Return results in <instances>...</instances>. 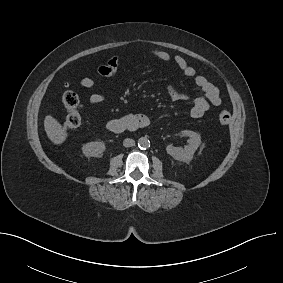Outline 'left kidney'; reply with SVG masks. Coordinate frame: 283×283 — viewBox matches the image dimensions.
I'll list each match as a JSON object with an SVG mask.
<instances>
[{
	"instance_id": "left-kidney-1",
	"label": "left kidney",
	"mask_w": 283,
	"mask_h": 283,
	"mask_svg": "<svg viewBox=\"0 0 283 283\" xmlns=\"http://www.w3.org/2000/svg\"><path fill=\"white\" fill-rule=\"evenodd\" d=\"M182 134L189 137L188 145L184 148L168 145L166 151L175 160L189 162L192 160L195 151L201 144V137L198 133L190 130H184Z\"/></svg>"
}]
</instances>
